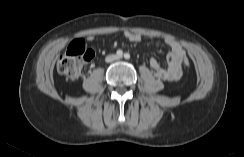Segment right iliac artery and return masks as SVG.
Wrapping results in <instances>:
<instances>
[{"label":"right iliac artery","instance_id":"obj_1","mask_svg":"<svg viewBox=\"0 0 244 157\" xmlns=\"http://www.w3.org/2000/svg\"><path fill=\"white\" fill-rule=\"evenodd\" d=\"M116 54L118 57H121L123 55V51L119 49L117 50Z\"/></svg>","mask_w":244,"mask_h":157}]
</instances>
